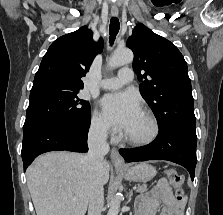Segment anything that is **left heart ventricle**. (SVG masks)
<instances>
[{
    "label": "left heart ventricle",
    "mask_w": 223,
    "mask_h": 215,
    "mask_svg": "<svg viewBox=\"0 0 223 215\" xmlns=\"http://www.w3.org/2000/svg\"><path fill=\"white\" fill-rule=\"evenodd\" d=\"M150 132V124L141 112L133 119L131 124L124 129V134L129 137L143 138Z\"/></svg>",
    "instance_id": "obj_1"
}]
</instances>
